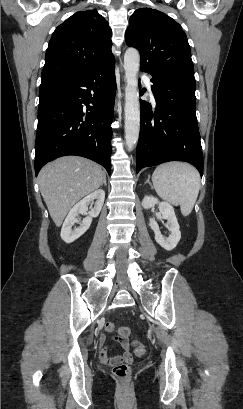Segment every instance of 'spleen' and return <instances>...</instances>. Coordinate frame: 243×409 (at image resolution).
Wrapping results in <instances>:
<instances>
[{"label":"spleen","instance_id":"obj_1","mask_svg":"<svg viewBox=\"0 0 243 409\" xmlns=\"http://www.w3.org/2000/svg\"><path fill=\"white\" fill-rule=\"evenodd\" d=\"M152 182L163 200L180 205L184 216L191 213L200 189V176L193 166L182 162L159 165L152 175Z\"/></svg>","mask_w":243,"mask_h":409}]
</instances>
